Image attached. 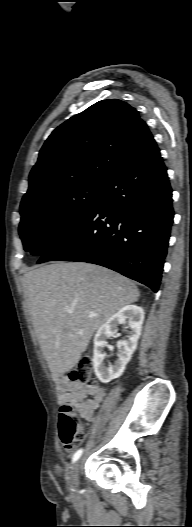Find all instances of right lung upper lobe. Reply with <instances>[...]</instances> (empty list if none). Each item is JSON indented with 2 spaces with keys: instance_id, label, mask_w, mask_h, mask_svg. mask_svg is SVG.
Instances as JSON below:
<instances>
[{
  "instance_id": "cb5924a9",
  "label": "right lung upper lobe",
  "mask_w": 192,
  "mask_h": 527,
  "mask_svg": "<svg viewBox=\"0 0 192 527\" xmlns=\"http://www.w3.org/2000/svg\"><path fill=\"white\" fill-rule=\"evenodd\" d=\"M153 140L135 108L118 99L99 101L52 132L21 204L82 182L106 184Z\"/></svg>"
}]
</instances>
